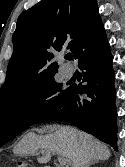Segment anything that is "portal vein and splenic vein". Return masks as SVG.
Segmentation results:
<instances>
[{
  "label": "portal vein and splenic vein",
  "mask_w": 125,
  "mask_h": 167,
  "mask_svg": "<svg viewBox=\"0 0 125 167\" xmlns=\"http://www.w3.org/2000/svg\"><path fill=\"white\" fill-rule=\"evenodd\" d=\"M58 161L60 162L62 167H69V165L71 164V161L68 158L62 156H58Z\"/></svg>",
  "instance_id": "obj_1"
}]
</instances>
